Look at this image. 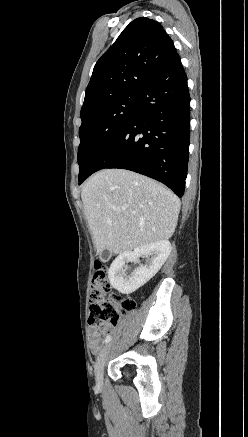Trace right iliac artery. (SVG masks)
Here are the masks:
<instances>
[{"label":"right iliac artery","mask_w":248,"mask_h":437,"mask_svg":"<svg viewBox=\"0 0 248 437\" xmlns=\"http://www.w3.org/2000/svg\"><path fill=\"white\" fill-rule=\"evenodd\" d=\"M111 338H112L111 335H107L105 338V343L110 342Z\"/></svg>","instance_id":"82829eb1"}]
</instances>
